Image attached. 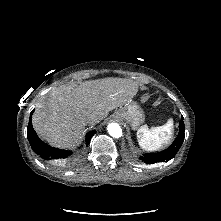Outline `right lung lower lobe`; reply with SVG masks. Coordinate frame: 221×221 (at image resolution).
Instances as JSON below:
<instances>
[{
  "instance_id": "1",
  "label": "right lung lower lobe",
  "mask_w": 221,
  "mask_h": 221,
  "mask_svg": "<svg viewBox=\"0 0 221 221\" xmlns=\"http://www.w3.org/2000/svg\"><path fill=\"white\" fill-rule=\"evenodd\" d=\"M32 113L33 111L30 114V120L28 123V131H27V137L32 150L40 157L51 163L58 164L60 166L71 165L74 160L73 157H70V155L72 154L71 151H66L51 147L39 139L32 126V121H31ZM95 132L96 131H91L86 135V146H88L89 141L91 137L95 134Z\"/></svg>"
}]
</instances>
